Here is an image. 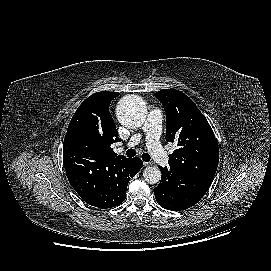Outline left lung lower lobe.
Masks as SVG:
<instances>
[{
	"instance_id": "left-lung-lower-lobe-1",
	"label": "left lung lower lobe",
	"mask_w": 271,
	"mask_h": 271,
	"mask_svg": "<svg viewBox=\"0 0 271 271\" xmlns=\"http://www.w3.org/2000/svg\"><path fill=\"white\" fill-rule=\"evenodd\" d=\"M162 178L154 194L163 208L186 210L196 204L208 191V185L171 167H160Z\"/></svg>"
}]
</instances>
